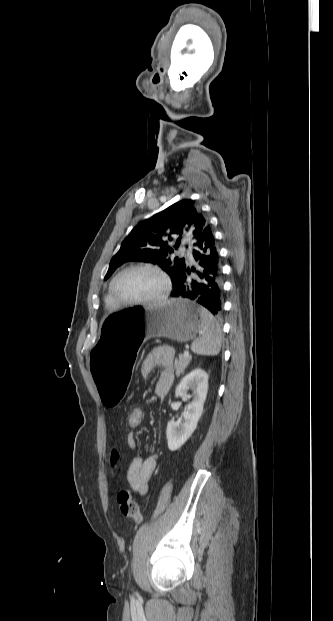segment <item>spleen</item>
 I'll return each instance as SVG.
<instances>
[{
    "label": "spleen",
    "mask_w": 333,
    "mask_h": 621,
    "mask_svg": "<svg viewBox=\"0 0 333 621\" xmlns=\"http://www.w3.org/2000/svg\"><path fill=\"white\" fill-rule=\"evenodd\" d=\"M202 335L193 341L191 350L201 356H216L220 353L222 332L215 317L201 307Z\"/></svg>",
    "instance_id": "spleen-1"
}]
</instances>
